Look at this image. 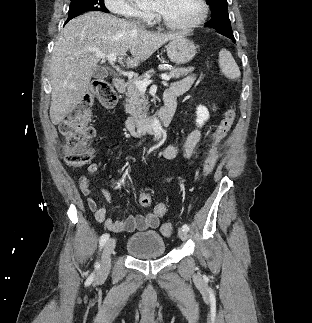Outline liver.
I'll return each mask as SVG.
<instances>
[{"label": "liver", "instance_id": "1", "mask_svg": "<svg viewBox=\"0 0 312 323\" xmlns=\"http://www.w3.org/2000/svg\"><path fill=\"white\" fill-rule=\"evenodd\" d=\"M182 34H154L128 20L111 14L88 12L70 20L56 38L50 64L52 86L50 118L57 126L80 104L88 90L93 70L100 58L96 54L116 52L127 58L129 68L148 60L158 48Z\"/></svg>", "mask_w": 312, "mask_h": 323}]
</instances>
